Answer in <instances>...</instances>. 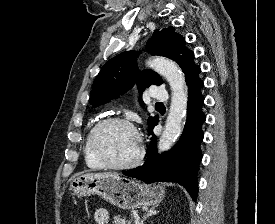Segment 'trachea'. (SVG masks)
<instances>
[{"label": "trachea", "instance_id": "3493384b", "mask_svg": "<svg viewBox=\"0 0 275 224\" xmlns=\"http://www.w3.org/2000/svg\"><path fill=\"white\" fill-rule=\"evenodd\" d=\"M156 105H163L162 103H157Z\"/></svg>", "mask_w": 275, "mask_h": 224}]
</instances>
